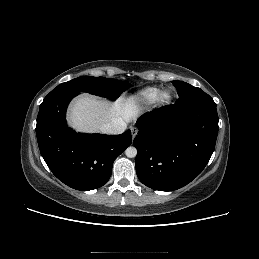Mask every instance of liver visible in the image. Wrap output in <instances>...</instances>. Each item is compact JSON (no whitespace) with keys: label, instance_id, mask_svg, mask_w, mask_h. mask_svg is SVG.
<instances>
[{"label":"liver","instance_id":"6515ba94","mask_svg":"<svg viewBox=\"0 0 259 259\" xmlns=\"http://www.w3.org/2000/svg\"><path fill=\"white\" fill-rule=\"evenodd\" d=\"M138 107L134 100L119 98L113 103L90 95L77 97L69 108V124L79 132H94L115 119L126 122L134 119Z\"/></svg>","mask_w":259,"mask_h":259}]
</instances>
